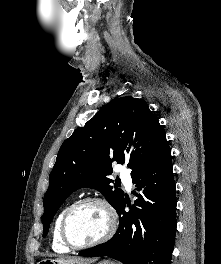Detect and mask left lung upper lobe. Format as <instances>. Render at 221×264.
<instances>
[{
	"label": "left lung upper lobe",
	"mask_w": 221,
	"mask_h": 264,
	"mask_svg": "<svg viewBox=\"0 0 221 264\" xmlns=\"http://www.w3.org/2000/svg\"><path fill=\"white\" fill-rule=\"evenodd\" d=\"M165 140L163 127L142 100L126 96L108 103L84 127L77 128L58 152L43 199V237L61 204L79 188L97 189L116 209L124 192L107 177L112 162L127 161L132 177L152 161ZM132 142L136 150L130 152L127 144Z\"/></svg>",
	"instance_id": "5c2ea615"
}]
</instances>
